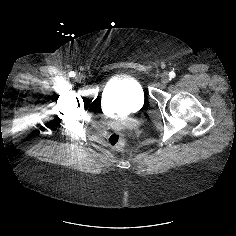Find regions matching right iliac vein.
Masks as SVG:
<instances>
[{
    "instance_id": "63e3f726",
    "label": "right iliac vein",
    "mask_w": 236,
    "mask_h": 236,
    "mask_svg": "<svg viewBox=\"0 0 236 236\" xmlns=\"http://www.w3.org/2000/svg\"><path fill=\"white\" fill-rule=\"evenodd\" d=\"M76 80L78 81V82H83L84 81V78H83V76L82 75H77L76 76Z\"/></svg>"
}]
</instances>
